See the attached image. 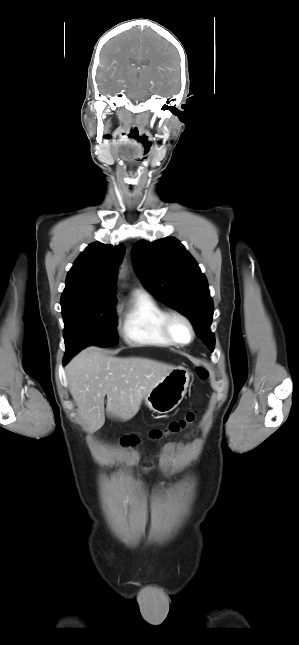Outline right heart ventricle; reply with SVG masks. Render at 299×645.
Segmentation results:
<instances>
[{"label": "right heart ventricle", "instance_id": "e07e8e85", "mask_svg": "<svg viewBox=\"0 0 299 645\" xmlns=\"http://www.w3.org/2000/svg\"><path fill=\"white\" fill-rule=\"evenodd\" d=\"M166 312L149 293L135 291L120 318V333L123 339L138 346H172L161 329Z\"/></svg>", "mask_w": 299, "mask_h": 645}]
</instances>
